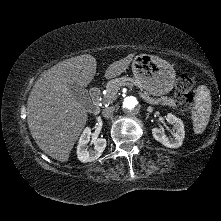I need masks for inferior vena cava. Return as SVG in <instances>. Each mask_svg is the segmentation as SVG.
<instances>
[{"instance_id": "inferior-vena-cava-1", "label": "inferior vena cava", "mask_w": 221, "mask_h": 221, "mask_svg": "<svg viewBox=\"0 0 221 221\" xmlns=\"http://www.w3.org/2000/svg\"><path fill=\"white\" fill-rule=\"evenodd\" d=\"M114 110H115V107H114V106H109V107L103 109L102 115H103L105 118H110V117H112Z\"/></svg>"}]
</instances>
